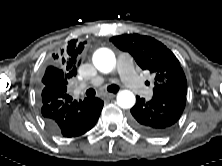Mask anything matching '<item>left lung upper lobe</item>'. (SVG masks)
Masks as SVG:
<instances>
[{"instance_id": "1", "label": "left lung upper lobe", "mask_w": 222, "mask_h": 166, "mask_svg": "<svg viewBox=\"0 0 222 166\" xmlns=\"http://www.w3.org/2000/svg\"><path fill=\"white\" fill-rule=\"evenodd\" d=\"M110 41L129 52L143 70L155 76L154 93L174 90L187 93V81L176 56L161 42L139 34L114 36Z\"/></svg>"}]
</instances>
